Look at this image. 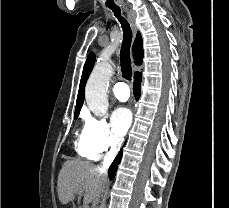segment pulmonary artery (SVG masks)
I'll return each mask as SVG.
<instances>
[{"mask_svg": "<svg viewBox=\"0 0 229 208\" xmlns=\"http://www.w3.org/2000/svg\"><path fill=\"white\" fill-rule=\"evenodd\" d=\"M113 94L117 99L125 101L130 97V89L124 82H117L113 87Z\"/></svg>", "mask_w": 229, "mask_h": 208, "instance_id": "e3ab8cb5", "label": "pulmonary artery"}]
</instances>
